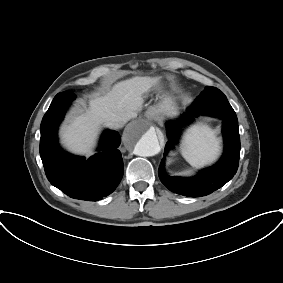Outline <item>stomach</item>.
Wrapping results in <instances>:
<instances>
[{
  "label": "stomach",
  "mask_w": 283,
  "mask_h": 283,
  "mask_svg": "<svg viewBox=\"0 0 283 283\" xmlns=\"http://www.w3.org/2000/svg\"><path fill=\"white\" fill-rule=\"evenodd\" d=\"M158 115H167L174 117L177 115V108L173 100L169 97L164 98L160 103L153 107Z\"/></svg>",
  "instance_id": "0dacf381"
}]
</instances>
